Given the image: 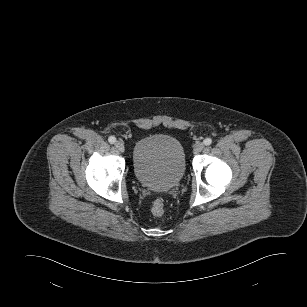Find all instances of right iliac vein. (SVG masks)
<instances>
[{"label":"right iliac vein","mask_w":307,"mask_h":307,"mask_svg":"<svg viewBox=\"0 0 307 307\" xmlns=\"http://www.w3.org/2000/svg\"><path fill=\"white\" fill-rule=\"evenodd\" d=\"M115 147L117 148V150H119L120 152H124L125 147H124V143L122 141H117L115 143Z\"/></svg>","instance_id":"63e3f726"}]
</instances>
